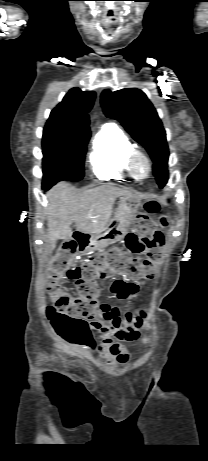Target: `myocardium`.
<instances>
[{"label": "myocardium", "instance_id": "myocardium-1", "mask_svg": "<svg viewBox=\"0 0 208 461\" xmlns=\"http://www.w3.org/2000/svg\"><path fill=\"white\" fill-rule=\"evenodd\" d=\"M129 168L136 177L145 179L152 171V163L146 152L134 149L129 157Z\"/></svg>", "mask_w": 208, "mask_h": 461}]
</instances>
